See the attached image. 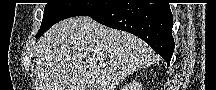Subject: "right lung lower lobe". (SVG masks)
Masks as SVG:
<instances>
[{
  "instance_id": "1",
  "label": "right lung lower lobe",
  "mask_w": 216,
  "mask_h": 90,
  "mask_svg": "<svg viewBox=\"0 0 216 90\" xmlns=\"http://www.w3.org/2000/svg\"><path fill=\"white\" fill-rule=\"evenodd\" d=\"M87 16L108 27L140 37L170 64L174 39L169 4H111Z\"/></svg>"
}]
</instances>
